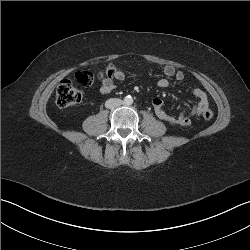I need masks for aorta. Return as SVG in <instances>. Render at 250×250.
Returning <instances> with one entry per match:
<instances>
[{"label": "aorta", "instance_id": "1", "mask_svg": "<svg viewBox=\"0 0 250 250\" xmlns=\"http://www.w3.org/2000/svg\"><path fill=\"white\" fill-rule=\"evenodd\" d=\"M123 103L129 106L133 103V98L130 95H128L124 98Z\"/></svg>", "mask_w": 250, "mask_h": 250}]
</instances>
